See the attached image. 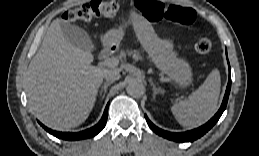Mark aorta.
Wrapping results in <instances>:
<instances>
[{
    "label": "aorta",
    "mask_w": 259,
    "mask_h": 156,
    "mask_svg": "<svg viewBox=\"0 0 259 156\" xmlns=\"http://www.w3.org/2000/svg\"><path fill=\"white\" fill-rule=\"evenodd\" d=\"M127 93L135 98H139L144 94V86L136 80L131 81L127 86Z\"/></svg>",
    "instance_id": "1"
}]
</instances>
